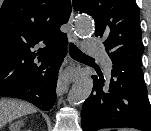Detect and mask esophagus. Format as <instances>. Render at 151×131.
Segmentation results:
<instances>
[{"label": "esophagus", "instance_id": "34e87169", "mask_svg": "<svg viewBox=\"0 0 151 131\" xmlns=\"http://www.w3.org/2000/svg\"><path fill=\"white\" fill-rule=\"evenodd\" d=\"M73 16H74V13H73V11H72L71 16H70V19H69V21H68V26H69L68 36H69V39H70L72 42H76V41H77V37H76V35L74 34V32L72 31V29H71V24H72ZM75 79H76V76L71 77L70 79H68L66 76H61V77L58 79V83H57V94L60 96V95H62L64 92H66L67 89H68V86H69L70 82H71V81H74Z\"/></svg>", "mask_w": 151, "mask_h": 131}]
</instances>
